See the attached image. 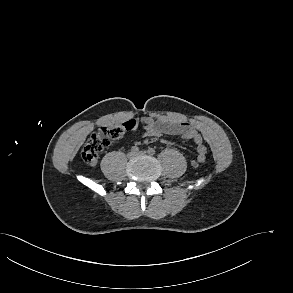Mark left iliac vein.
<instances>
[{
	"instance_id": "1",
	"label": "left iliac vein",
	"mask_w": 293,
	"mask_h": 293,
	"mask_svg": "<svg viewBox=\"0 0 293 293\" xmlns=\"http://www.w3.org/2000/svg\"><path fill=\"white\" fill-rule=\"evenodd\" d=\"M137 155H146V151H140L137 153Z\"/></svg>"
}]
</instances>
